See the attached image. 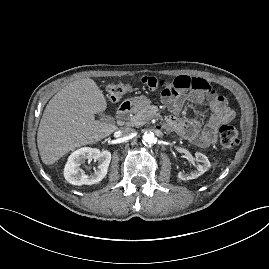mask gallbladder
I'll use <instances>...</instances> for the list:
<instances>
[{
    "instance_id": "1",
    "label": "gallbladder",
    "mask_w": 269,
    "mask_h": 269,
    "mask_svg": "<svg viewBox=\"0 0 269 269\" xmlns=\"http://www.w3.org/2000/svg\"><path fill=\"white\" fill-rule=\"evenodd\" d=\"M101 118H102L103 121H106V122L110 121L109 118H108L107 116H103V115H101Z\"/></svg>"
}]
</instances>
